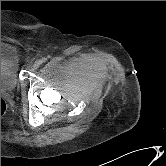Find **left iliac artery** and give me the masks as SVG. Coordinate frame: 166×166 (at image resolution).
<instances>
[{"label":"left iliac artery","mask_w":166,"mask_h":166,"mask_svg":"<svg viewBox=\"0 0 166 166\" xmlns=\"http://www.w3.org/2000/svg\"><path fill=\"white\" fill-rule=\"evenodd\" d=\"M46 61H47V58H45V57H43V58L40 60L41 64H42L43 62H46Z\"/></svg>","instance_id":"left-iliac-artery-1"}]
</instances>
